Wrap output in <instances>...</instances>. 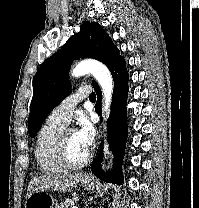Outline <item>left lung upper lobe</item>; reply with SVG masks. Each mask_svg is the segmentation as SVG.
<instances>
[{
  "label": "left lung upper lobe",
  "mask_w": 199,
  "mask_h": 208,
  "mask_svg": "<svg viewBox=\"0 0 199 208\" xmlns=\"http://www.w3.org/2000/svg\"><path fill=\"white\" fill-rule=\"evenodd\" d=\"M94 58L109 70L123 57L111 38L97 22H84L54 55L46 59L33 79V97L28 119V132L35 137L46 116L71 92L68 74L76 58ZM93 86L97 85L93 81Z\"/></svg>",
  "instance_id": "obj_1"
}]
</instances>
